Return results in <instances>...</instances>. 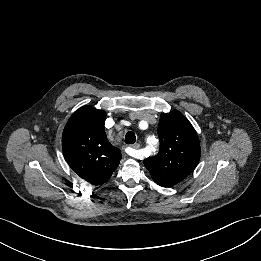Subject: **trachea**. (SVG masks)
I'll return each mask as SVG.
<instances>
[{"label": "trachea", "mask_w": 261, "mask_h": 261, "mask_svg": "<svg viewBox=\"0 0 261 261\" xmlns=\"http://www.w3.org/2000/svg\"><path fill=\"white\" fill-rule=\"evenodd\" d=\"M136 142V136L134 132L129 131L125 135V143L126 144H134Z\"/></svg>", "instance_id": "trachea-1"}]
</instances>
